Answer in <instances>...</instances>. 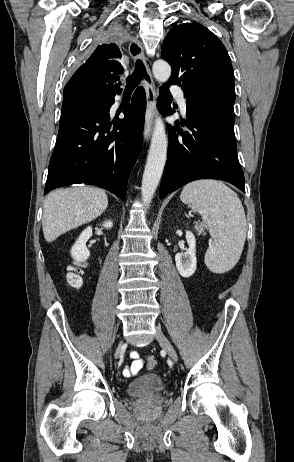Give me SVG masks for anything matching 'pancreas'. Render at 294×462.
Segmentation results:
<instances>
[{
    "instance_id": "pancreas-1",
    "label": "pancreas",
    "mask_w": 294,
    "mask_h": 462,
    "mask_svg": "<svg viewBox=\"0 0 294 462\" xmlns=\"http://www.w3.org/2000/svg\"><path fill=\"white\" fill-rule=\"evenodd\" d=\"M194 229L196 230V232H197L198 235H199V234H204V233H205V231H204V225H202V224H196V225L194 226Z\"/></svg>"
}]
</instances>
